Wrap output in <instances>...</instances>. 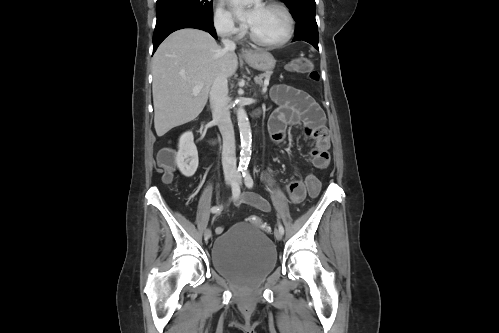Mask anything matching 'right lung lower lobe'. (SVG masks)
I'll list each match as a JSON object with an SVG mask.
<instances>
[{"label":"right lung lower lobe","mask_w":499,"mask_h":333,"mask_svg":"<svg viewBox=\"0 0 499 333\" xmlns=\"http://www.w3.org/2000/svg\"><path fill=\"white\" fill-rule=\"evenodd\" d=\"M183 28H196L209 32L214 38H217L213 20H206L193 17H176L156 24L153 35V53L159 44L172 32Z\"/></svg>","instance_id":"98d812e1"}]
</instances>
